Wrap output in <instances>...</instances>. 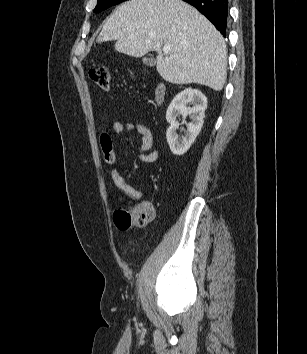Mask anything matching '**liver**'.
Wrapping results in <instances>:
<instances>
[{
    "label": "liver",
    "instance_id": "1",
    "mask_svg": "<svg viewBox=\"0 0 307 354\" xmlns=\"http://www.w3.org/2000/svg\"><path fill=\"white\" fill-rule=\"evenodd\" d=\"M116 40L115 50L132 57L157 52V71L170 83H197L222 90L227 52L222 35L181 0H130L109 17L97 41ZM170 45L165 56L162 47Z\"/></svg>",
    "mask_w": 307,
    "mask_h": 354
}]
</instances>
